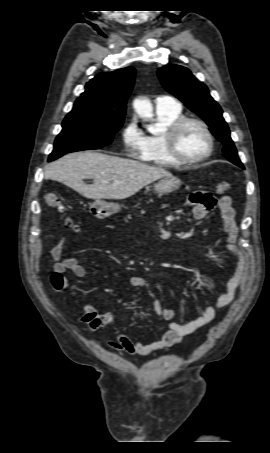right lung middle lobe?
Masks as SVG:
<instances>
[{
  "mask_svg": "<svg viewBox=\"0 0 270 453\" xmlns=\"http://www.w3.org/2000/svg\"><path fill=\"white\" fill-rule=\"evenodd\" d=\"M123 122L95 115L68 116L63 120L62 131L56 137L54 149L48 161L67 153L99 149L109 145Z\"/></svg>",
  "mask_w": 270,
  "mask_h": 453,
  "instance_id": "right-lung-middle-lobe-1",
  "label": "right lung middle lobe"
}]
</instances>
